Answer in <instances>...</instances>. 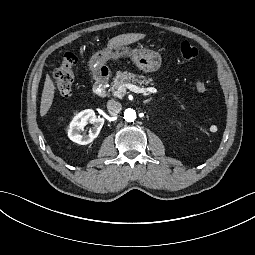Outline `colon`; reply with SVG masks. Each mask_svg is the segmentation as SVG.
<instances>
[{"instance_id":"5ec220e1","label":"colon","mask_w":255,"mask_h":255,"mask_svg":"<svg viewBox=\"0 0 255 255\" xmlns=\"http://www.w3.org/2000/svg\"><path fill=\"white\" fill-rule=\"evenodd\" d=\"M179 51L182 58L185 60H192L198 55L197 48L187 41L181 43ZM76 61L77 58L73 53H66L59 67L54 72L57 91L62 97H68L72 92ZM196 87L199 92H205L207 89L204 82H197Z\"/></svg>"}]
</instances>
